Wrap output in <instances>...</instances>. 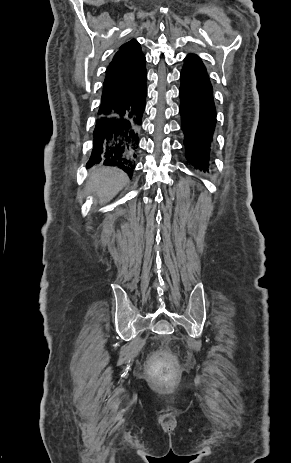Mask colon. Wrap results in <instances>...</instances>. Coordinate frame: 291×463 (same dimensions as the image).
<instances>
[{"instance_id": "obj_1", "label": "colon", "mask_w": 291, "mask_h": 463, "mask_svg": "<svg viewBox=\"0 0 291 463\" xmlns=\"http://www.w3.org/2000/svg\"><path fill=\"white\" fill-rule=\"evenodd\" d=\"M152 375L157 381L166 384L171 377V369L166 362L157 359L152 363Z\"/></svg>"}]
</instances>
